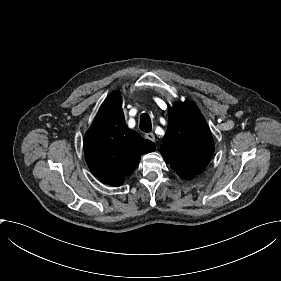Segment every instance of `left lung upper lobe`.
Returning <instances> with one entry per match:
<instances>
[{
  "instance_id": "5c2ea615",
  "label": "left lung upper lobe",
  "mask_w": 281,
  "mask_h": 281,
  "mask_svg": "<svg viewBox=\"0 0 281 281\" xmlns=\"http://www.w3.org/2000/svg\"><path fill=\"white\" fill-rule=\"evenodd\" d=\"M168 116L160 152L180 177L191 179L205 169L214 152L211 131L193 103L175 104Z\"/></svg>"
}]
</instances>
